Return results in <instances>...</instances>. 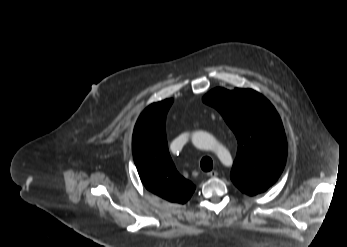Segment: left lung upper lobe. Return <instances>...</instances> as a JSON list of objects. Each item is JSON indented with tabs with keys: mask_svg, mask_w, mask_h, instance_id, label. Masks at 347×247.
<instances>
[{
	"mask_svg": "<svg viewBox=\"0 0 347 247\" xmlns=\"http://www.w3.org/2000/svg\"><path fill=\"white\" fill-rule=\"evenodd\" d=\"M203 101L219 111L237 138L231 171L235 186L250 196L266 191L282 173L287 157L284 128L273 105L258 92L239 88H215Z\"/></svg>",
	"mask_w": 347,
	"mask_h": 247,
	"instance_id": "5c2ea615",
	"label": "left lung upper lobe"
}]
</instances>
